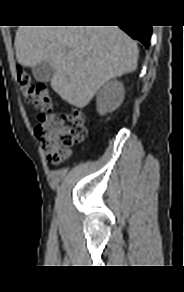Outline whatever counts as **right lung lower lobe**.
Returning a JSON list of instances; mask_svg holds the SVG:
<instances>
[{
  "label": "right lung lower lobe",
  "mask_w": 184,
  "mask_h": 292,
  "mask_svg": "<svg viewBox=\"0 0 184 292\" xmlns=\"http://www.w3.org/2000/svg\"><path fill=\"white\" fill-rule=\"evenodd\" d=\"M120 27L133 39L139 40L146 48L149 47L152 34L151 26L125 25Z\"/></svg>",
  "instance_id": "obj_1"
}]
</instances>
